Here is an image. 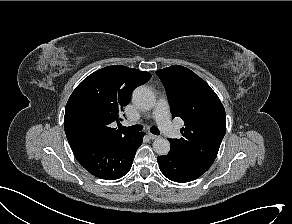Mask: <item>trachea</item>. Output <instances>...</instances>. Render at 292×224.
<instances>
[{
  "label": "trachea",
  "instance_id": "3493384b",
  "mask_svg": "<svg viewBox=\"0 0 292 224\" xmlns=\"http://www.w3.org/2000/svg\"><path fill=\"white\" fill-rule=\"evenodd\" d=\"M143 129V127L141 125H133V126H130V127H123L121 126V130H125V131H130V132H139ZM150 132L155 134V135H159L160 134V131L157 127H151L150 128Z\"/></svg>",
  "mask_w": 292,
  "mask_h": 224
}]
</instances>
